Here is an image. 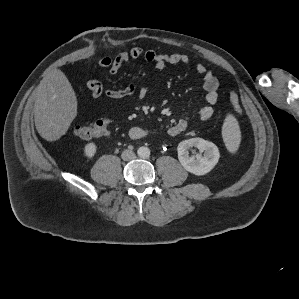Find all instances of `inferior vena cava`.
<instances>
[{"instance_id": "obj_1", "label": "inferior vena cava", "mask_w": 299, "mask_h": 299, "mask_svg": "<svg viewBox=\"0 0 299 299\" xmlns=\"http://www.w3.org/2000/svg\"><path fill=\"white\" fill-rule=\"evenodd\" d=\"M121 157L124 161H130L133 160L136 155L132 150H124L121 154Z\"/></svg>"}]
</instances>
